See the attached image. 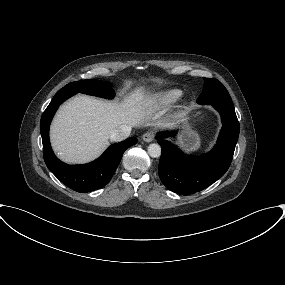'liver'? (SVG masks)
<instances>
[{
	"mask_svg": "<svg viewBox=\"0 0 285 285\" xmlns=\"http://www.w3.org/2000/svg\"><path fill=\"white\" fill-rule=\"evenodd\" d=\"M153 113V101L142 88L134 90L121 103L75 96L61 106L53 120L52 147L65 162H88L105 150L112 131L121 125H171L149 122L156 119Z\"/></svg>",
	"mask_w": 285,
	"mask_h": 285,
	"instance_id": "6515ba94",
	"label": "liver"
}]
</instances>
